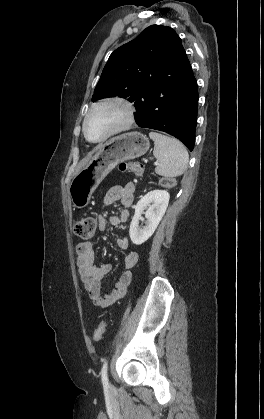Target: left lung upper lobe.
Listing matches in <instances>:
<instances>
[{
  "instance_id": "1",
  "label": "left lung upper lobe",
  "mask_w": 264,
  "mask_h": 419,
  "mask_svg": "<svg viewBox=\"0 0 264 419\" xmlns=\"http://www.w3.org/2000/svg\"><path fill=\"white\" fill-rule=\"evenodd\" d=\"M181 49V39L172 28L149 26L110 55L92 101L119 96L134 102L138 109L151 85L170 76Z\"/></svg>"
}]
</instances>
